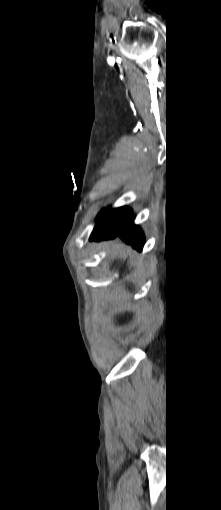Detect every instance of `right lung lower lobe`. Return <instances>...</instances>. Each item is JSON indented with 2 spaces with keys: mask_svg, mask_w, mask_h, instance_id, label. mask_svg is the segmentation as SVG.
Returning a JSON list of instances; mask_svg holds the SVG:
<instances>
[{
  "mask_svg": "<svg viewBox=\"0 0 221 510\" xmlns=\"http://www.w3.org/2000/svg\"><path fill=\"white\" fill-rule=\"evenodd\" d=\"M132 220L133 212L128 208L119 218L101 213L90 240L100 241L119 236L137 250H142L144 245L143 233L138 226L133 224Z\"/></svg>",
  "mask_w": 221,
  "mask_h": 510,
  "instance_id": "obj_1",
  "label": "right lung lower lobe"
}]
</instances>
